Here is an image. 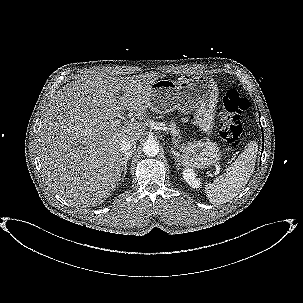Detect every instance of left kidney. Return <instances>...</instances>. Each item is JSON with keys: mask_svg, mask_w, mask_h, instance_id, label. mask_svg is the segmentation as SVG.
Returning a JSON list of instances; mask_svg holds the SVG:
<instances>
[{"mask_svg": "<svg viewBox=\"0 0 303 303\" xmlns=\"http://www.w3.org/2000/svg\"><path fill=\"white\" fill-rule=\"evenodd\" d=\"M184 179L186 182L193 188H199L200 187V181L195 177V174L191 170H185L184 171Z\"/></svg>", "mask_w": 303, "mask_h": 303, "instance_id": "1", "label": "left kidney"}]
</instances>
